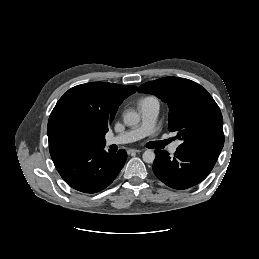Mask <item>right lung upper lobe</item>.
Instances as JSON below:
<instances>
[{
  "label": "right lung upper lobe",
  "mask_w": 259,
  "mask_h": 259,
  "mask_svg": "<svg viewBox=\"0 0 259 259\" xmlns=\"http://www.w3.org/2000/svg\"><path fill=\"white\" fill-rule=\"evenodd\" d=\"M135 86L92 82L69 89L52 110L47 127L50 155L105 146L119 105Z\"/></svg>",
  "instance_id": "1"
}]
</instances>
